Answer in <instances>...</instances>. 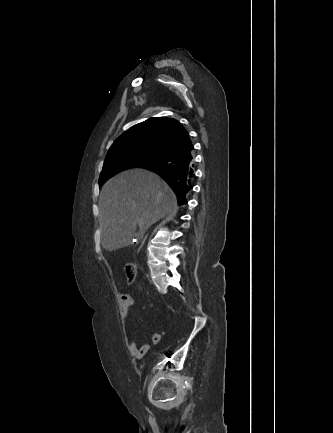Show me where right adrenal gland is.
<instances>
[{"mask_svg": "<svg viewBox=\"0 0 333 433\" xmlns=\"http://www.w3.org/2000/svg\"><path fill=\"white\" fill-rule=\"evenodd\" d=\"M146 238H147V236H146V237L144 238V240H143V243H142V246H143V244H144V242H145Z\"/></svg>", "mask_w": 333, "mask_h": 433, "instance_id": "1", "label": "right adrenal gland"}]
</instances>
